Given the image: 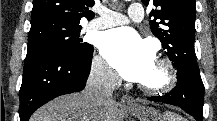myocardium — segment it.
Returning a JSON list of instances; mask_svg holds the SVG:
<instances>
[{
	"mask_svg": "<svg viewBox=\"0 0 217 121\" xmlns=\"http://www.w3.org/2000/svg\"><path fill=\"white\" fill-rule=\"evenodd\" d=\"M155 64L160 71V77L154 82H141L139 88L152 95L171 91L178 81L177 71L173 63L167 58H158Z\"/></svg>",
	"mask_w": 217,
	"mask_h": 121,
	"instance_id": "1",
	"label": "myocardium"
}]
</instances>
